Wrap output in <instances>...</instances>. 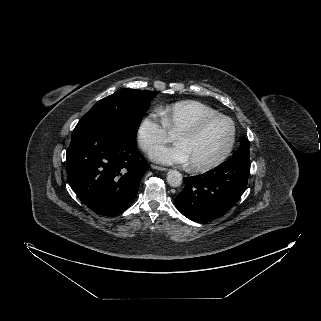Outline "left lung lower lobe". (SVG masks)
<instances>
[{
  "instance_id": "obj_1",
  "label": "left lung lower lobe",
  "mask_w": 321,
  "mask_h": 321,
  "mask_svg": "<svg viewBox=\"0 0 321 321\" xmlns=\"http://www.w3.org/2000/svg\"><path fill=\"white\" fill-rule=\"evenodd\" d=\"M250 157L233 156L202 175L186 178L175 200L176 208L192 221L206 223L226 214L244 193Z\"/></svg>"
}]
</instances>
